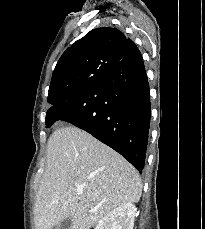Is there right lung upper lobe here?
<instances>
[{
	"instance_id": "obj_1",
	"label": "right lung upper lobe",
	"mask_w": 205,
	"mask_h": 229,
	"mask_svg": "<svg viewBox=\"0 0 205 229\" xmlns=\"http://www.w3.org/2000/svg\"><path fill=\"white\" fill-rule=\"evenodd\" d=\"M131 47L135 49L134 54L139 51L118 29L91 30L60 57L53 71L47 101L53 105L65 101L96 83L97 78L108 76Z\"/></svg>"
}]
</instances>
